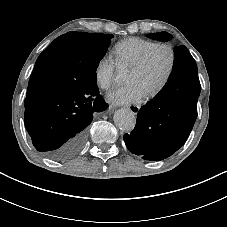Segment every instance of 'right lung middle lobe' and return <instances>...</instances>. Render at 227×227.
<instances>
[{
    "label": "right lung middle lobe",
    "mask_w": 227,
    "mask_h": 227,
    "mask_svg": "<svg viewBox=\"0 0 227 227\" xmlns=\"http://www.w3.org/2000/svg\"><path fill=\"white\" fill-rule=\"evenodd\" d=\"M112 38L111 34L68 32L40 54L34 68L54 79L57 88L68 92L97 87L96 69Z\"/></svg>",
    "instance_id": "1"
}]
</instances>
